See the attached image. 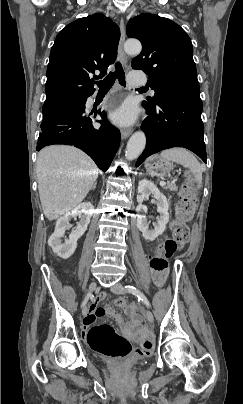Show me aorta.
I'll return each mask as SVG.
<instances>
[{"mask_svg":"<svg viewBox=\"0 0 243 404\" xmlns=\"http://www.w3.org/2000/svg\"><path fill=\"white\" fill-rule=\"evenodd\" d=\"M141 50L142 46L139 40H126V42H124V52H126L128 56H138ZM145 146L146 136L144 132H135L127 142L125 154L126 160L130 162V160H136V158H139Z\"/></svg>","mask_w":243,"mask_h":404,"instance_id":"aorta-1","label":"aorta"}]
</instances>
